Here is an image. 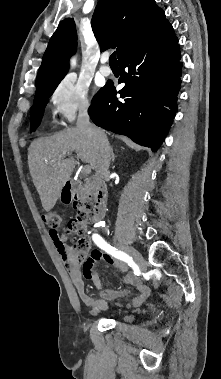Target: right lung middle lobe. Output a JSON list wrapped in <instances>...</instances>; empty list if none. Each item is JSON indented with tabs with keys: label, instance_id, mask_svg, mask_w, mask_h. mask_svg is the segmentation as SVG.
<instances>
[{
	"label": "right lung middle lobe",
	"instance_id": "1",
	"mask_svg": "<svg viewBox=\"0 0 221 379\" xmlns=\"http://www.w3.org/2000/svg\"><path fill=\"white\" fill-rule=\"evenodd\" d=\"M60 81L61 80H58L54 82L53 84L43 87L41 89H38L36 91L35 103L33 104L32 109H31V128L32 129H36V127L40 124L42 116H43L44 107L46 106L48 102V98L52 95V93L54 92L55 88L57 87ZM96 96L94 97V99L96 98Z\"/></svg>",
	"mask_w": 221,
	"mask_h": 379
}]
</instances>
